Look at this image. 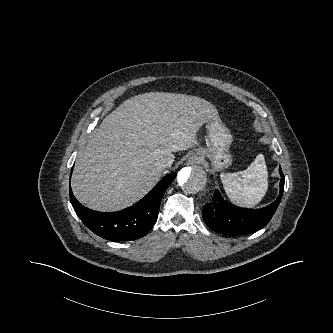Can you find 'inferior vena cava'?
<instances>
[{
    "label": "inferior vena cava",
    "mask_w": 333,
    "mask_h": 333,
    "mask_svg": "<svg viewBox=\"0 0 333 333\" xmlns=\"http://www.w3.org/2000/svg\"><path fill=\"white\" fill-rule=\"evenodd\" d=\"M157 167H158L160 170H164V169H166V168L169 167V164H168L166 161L161 160V161H158V163H157Z\"/></svg>",
    "instance_id": "1"
}]
</instances>
